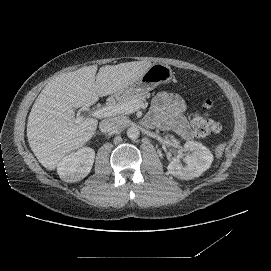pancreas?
Wrapping results in <instances>:
<instances>
[{
    "label": "pancreas",
    "instance_id": "pancreas-1",
    "mask_svg": "<svg viewBox=\"0 0 271 271\" xmlns=\"http://www.w3.org/2000/svg\"><path fill=\"white\" fill-rule=\"evenodd\" d=\"M148 97H150V94L146 93V92L125 94L118 101H119V104L126 103V102H131V103L135 104L134 102L142 103Z\"/></svg>",
    "mask_w": 271,
    "mask_h": 271
}]
</instances>
